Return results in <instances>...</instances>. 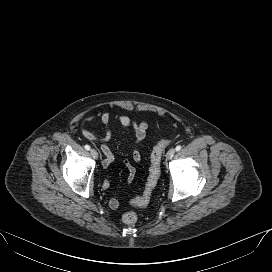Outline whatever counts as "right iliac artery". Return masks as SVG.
I'll return each instance as SVG.
<instances>
[{
	"instance_id": "1",
	"label": "right iliac artery",
	"mask_w": 272,
	"mask_h": 272,
	"mask_svg": "<svg viewBox=\"0 0 272 272\" xmlns=\"http://www.w3.org/2000/svg\"><path fill=\"white\" fill-rule=\"evenodd\" d=\"M86 150H90V146L89 145H85L84 146Z\"/></svg>"
}]
</instances>
